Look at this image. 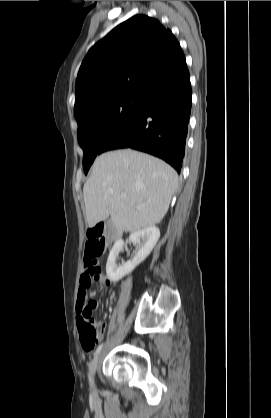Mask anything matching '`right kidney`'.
<instances>
[{
    "label": "right kidney",
    "mask_w": 271,
    "mask_h": 418,
    "mask_svg": "<svg viewBox=\"0 0 271 418\" xmlns=\"http://www.w3.org/2000/svg\"><path fill=\"white\" fill-rule=\"evenodd\" d=\"M159 237L160 230L156 226L146 227L131 233L129 240L137 245L138 252L131 261L122 263L121 265L116 264V259L118 258L119 252L123 250L124 242L121 239L117 240L110 251L106 264L108 278L113 282H117L129 274L148 257L158 242Z\"/></svg>",
    "instance_id": "right-kidney-1"
}]
</instances>
